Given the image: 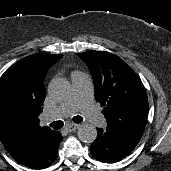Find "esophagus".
<instances>
[{"instance_id": "34e87169", "label": "esophagus", "mask_w": 171, "mask_h": 171, "mask_svg": "<svg viewBox=\"0 0 171 171\" xmlns=\"http://www.w3.org/2000/svg\"><path fill=\"white\" fill-rule=\"evenodd\" d=\"M79 128V125L78 124H68L66 127H65V130H67L68 132H72V131H75L76 129Z\"/></svg>"}]
</instances>
